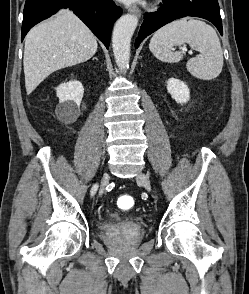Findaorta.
Segmentation results:
<instances>
[{
	"instance_id": "1",
	"label": "aorta",
	"mask_w": 249,
	"mask_h": 294,
	"mask_svg": "<svg viewBox=\"0 0 249 294\" xmlns=\"http://www.w3.org/2000/svg\"><path fill=\"white\" fill-rule=\"evenodd\" d=\"M137 24L138 19L135 15L126 14L120 17L114 26L112 48L116 64L121 69L129 65L130 43Z\"/></svg>"
}]
</instances>
